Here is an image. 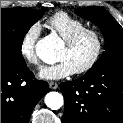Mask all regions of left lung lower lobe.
I'll list each match as a JSON object with an SVG mask.
<instances>
[{"instance_id": "obj_1", "label": "left lung lower lobe", "mask_w": 123, "mask_h": 123, "mask_svg": "<svg viewBox=\"0 0 123 123\" xmlns=\"http://www.w3.org/2000/svg\"><path fill=\"white\" fill-rule=\"evenodd\" d=\"M60 89L62 123H123V59L100 64Z\"/></svg>"}]
</instances>
